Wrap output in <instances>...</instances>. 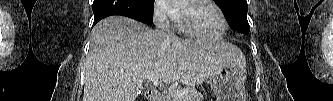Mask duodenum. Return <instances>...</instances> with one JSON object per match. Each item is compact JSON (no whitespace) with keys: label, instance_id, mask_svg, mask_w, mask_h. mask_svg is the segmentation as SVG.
I'll return each mask as SVG.
<instances>
[{"label":"duodenum","instance_id":"410a0bca","mask_svg":"<svg viewBox=\"0 0 333 101\" xmlns=\"http://www.w3.org/2000/svg\"><path fill=\"white\" fill-rule=\"evenodd\" d=\"M145 97L148 101H162V96L158 91L149 90L146 92Z\"/></svg>","mask_w":333,"mask_h":101}]
</instances>
